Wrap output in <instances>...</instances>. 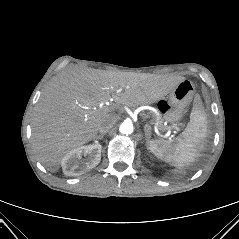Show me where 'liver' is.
Returning a JSON list of instances; mask_svg holds the SVG:
<instances>
[{"mask_svg":"<svg viewBox=\"0 0 239 239\" xmlns=\"http://www.w3.org/2000/svg\"><path fill=\"white\" fill-rule=\"evenodd\" d=\"M183 77L66 69L55 76L35 106L32 145L47 170H59L63 157L96 138L104 122H115L121 105L136 107L163 98Z\"/></svg>","mask_w":239,"mask_h":239,"instance_id":"1","label":"liver"}]
</instances>
